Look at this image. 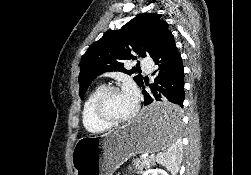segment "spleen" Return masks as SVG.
<instances>
[{"label":"spleen","mask_w":251,"mask_h":175,"mask_svg":"<svg viewBox=\"0 0 251 175\" xmlns=\"http://www.w3.org/2000/svg\"><path fill=\"white\" fill-rule=\"evenodd\" d=\"M180 109H172L163 119V133L167 137V151L158 153L156 161L165 165L172 175H177L182 161V143L179 141Z\"/></svg>","instance_id":"obj_1"}]
</instances>
